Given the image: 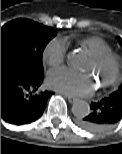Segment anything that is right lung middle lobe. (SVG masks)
Masks as SVG:
<instances>
[{
	"label": "right lung middle lobe",
	"mask_w": 122,
	"mask_h": 154,
	"mask_svg": "<svg viewBox=\"0 0 122 154\" xmlns=\"http://www.w3.org/2000/svg\"><path fill=\"white\" fill-rule=\"evenodd\" d=\"M57 32L29 19H16L1 27V53L23 57L36 73H43L42 55Z\"/></svg>",
	"instance_id": "1"
}]
</instances>
